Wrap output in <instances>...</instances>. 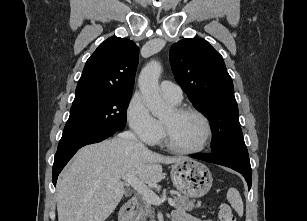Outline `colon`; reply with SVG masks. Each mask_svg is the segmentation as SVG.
I'll return each mask as SVG.
<instances>
[{
    "mask_svg": "<svg viewBox=\"0 0 307 221\" xmlns=\"http://www.w3.org/2000/svg\"><path fill=\"white\" fill-rule=\"evenodd\" d=\"M219 221H236V217L232 211V208L228 204H220L218 207Z\"/></svg>",
    "mask_w": 307,
    "mask_h": 221,
    "instance_id": "colon-1",
    "label": "colon"
}]
</instances>
